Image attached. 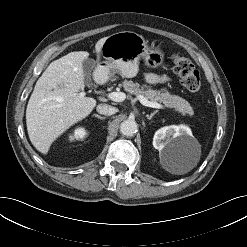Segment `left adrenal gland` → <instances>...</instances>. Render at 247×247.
<instances>
[{"instance_id": "obj_1", "label": "left adrenal gland", "mask_w": 247, "mask_h": 247, "mask_svg": "<svg viewBox=\"0 0 247 247\" xmlns=\"http://www.w3.org/2000/svg\"><path fill=\"white\" fill-rule=\"evenodd\" d=\"M157 110L156 111H154L153 113H151L150 115H147L146 117H147V119L148 120H151L152 118H153V116L155 115V114H157Z\"/></svg>"}]
</instances>
